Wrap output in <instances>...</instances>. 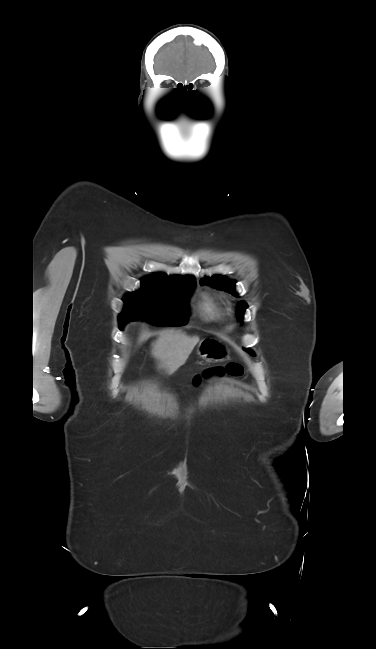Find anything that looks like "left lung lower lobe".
Instances as JSON below:
<instances>
[{
	"label": "left lung lower lobe",
	"instance_id": "left-lung-lower-lobe-1",
	"mask_svg": "<svg viewBox=\"0 0 376 649\" xmlns=\"http://www.w3.org/2000/svg\"><path fill=\"white\" fill-rule=\"evenodd\" d=\"M245 351H247V352H248V351H250V350H249V349H245ZM251 353H252V354H254V353H253L252 351H251Z\"/></svg>",
	"mask_w": 376,
	"mask_h": 649
}]
</instances>
